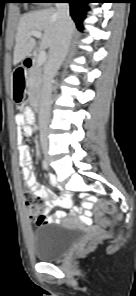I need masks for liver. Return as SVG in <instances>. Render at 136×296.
Instances as JSON below:
<instances>
[{"label":"liver","instance_id":"liver-1","mask_svg":"<svg viewBox=\"0 0 136 296\" xmlns=\"http://www.w3.org/2000/svg\"><path fill=\"white\" fill-rule=\"evenodd\" d=\"M74 24L72 22V29ZM31 31L43 32L40 47L49 48L50 51L56 43L59 33V18L57 10L47 8L33 11L23 15L19 21L16 34V43L13 53V65L22 62L34 49L36 41L29 36ZM49 51V54H50Z\"/></svg>","mask_w":136,"mask_h":296}]
</instances>
